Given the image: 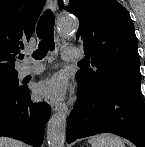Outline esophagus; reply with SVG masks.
<instances>
[{"instance_id":"34e87169","label":"esophagus","mask_w":145,"mask_h":147,"mask_svg":"<svg viewBox=\"0 0 145 147\" xmlns=\"http://www.w3.org/2000/svg\"><path fill=\"white\" fill-rule=\"evenodd\" d=\"M48 5L52 9V11H55L57 8V0H48ZM51 109L53 112H57L59 110H64L65 112L68 111L66 104L60 102H53L51 104Z\"/></svg>"}]
</instances>
